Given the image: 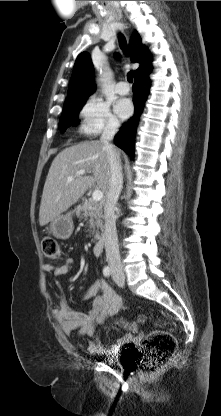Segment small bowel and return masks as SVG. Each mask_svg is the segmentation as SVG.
Segmentation results:
<instances>
[{
    "label": "small bowel",
    "mask_w": 221,
    "mask_h": 416,
    "mask_svg": "<svg viewBox=\"0 0 221 416\" xmlns=\"http://www.w3.org/2000/svg\"><path fill=\"white\" fill-rule=\"evenodd\" d=\"M75 260L71 257L65 258L60 263H46L43 265V275L53 274L63 276L74 266ZM59 289L61 287L59 285ZM101 293L98 295V293ZM93 299L92 309L88 313L71 310L61 291L59 304L53 309L52 315L58 321L63 333L71 336L74 332L89 338L86 350L94 355H112L122 346L130 344L133 337L124 335L115 344L105 347L100 342L96 327L106 318L116 315L122 307L121 297L103 279L95 280L84 292L83 300Z\"/></svg>",
    "instance_id": "small-bowel-1"
}]
</instances>
